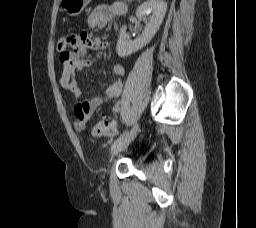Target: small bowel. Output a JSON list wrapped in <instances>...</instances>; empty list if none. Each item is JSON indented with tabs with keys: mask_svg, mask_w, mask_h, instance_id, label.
Wrapping results in <instances>:
<instances>
[{
	"mask_svg": "<svg viewBox=\"0 0 256 228\" xmlns=\"http://www.w3.org/2000/svg\"><path fill=\"white\" fill-rule=\"evenodd\" d=\"M125 12L126 6L123 2H114L111 5H99L88 17L87 26L90 29L104 28L115 17L123 15ZM108 47L109 43L91 39L86 31L65 37L64 46L61 48L58 46L60 53L59 62L62 66L60 85L64 90L68 91L74 99L79 98L82 93L81 87L76 80V75L82 68L89 67L93 63L91 57L87 54V50H105ZM111 69L118 79L106 85L102 95L94 96L74 106L73 124L77 131L85 129L86 122L90 119L94 111L105 101L120 95L123 87L120 78L125 74L124 67L121 64L112 63ZM116 131L117 124L111 121L107 129V134L112 135L116 133Z\"/></svg>",
	"mask_w": 256,
	"mask_h": 228,
	"instance_id": "small-bowel-1",
	"label": "small bowel"
}]
</instances>
